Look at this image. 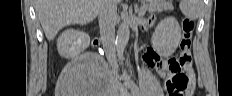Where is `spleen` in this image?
I'll list each match as a JSON object with an SVG mask.
<instances>
[{"label":"spleen","instance_id":"spleen-1","mask_svg":"<svg viewBox=\"0 0 232 96\" xmlns=\"http://www.w3.org/2000/svg\"><path fill=\"white\" fill-rule=\"evenodd\" d=\"M179 7L185 17L196 20L201 16L203 3L202 0H181Z\"/></svg>","mask_w":232,"mask_h":96}]
</instances>
